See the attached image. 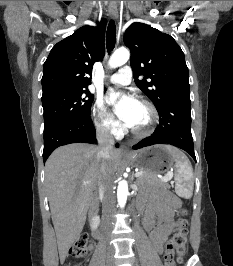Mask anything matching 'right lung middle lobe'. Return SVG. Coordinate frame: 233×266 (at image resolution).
I'll return each mask as SVG.
<instances>
[{
    "instance_id": "dd1d6c3e",
    "label": "right lung middle lobe",
    "mask_w": 233,
    "mask_h": 266,
    "mask_svg": "<svg viewBox=\"0 0 233 266\" xmlns=\"http://www.w3.org/2000/svg\"><path fill=\"white\" fill-rule=\"evenodd\" d=\"M93 99L87 88L42 95L44 130L65 121L89 117Z\"/></svg>"
}]
</instances>
